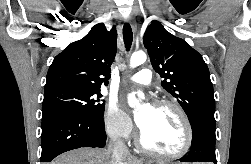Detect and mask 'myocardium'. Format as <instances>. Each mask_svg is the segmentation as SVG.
<instances>
[{
	"label": "myocardium",
	"mask_w": 251,
	"mask_h": 164,
	"mask_svg": "<svg viewBox=\"0 0 251 164\" xmlns=\"http://www.w3.org/2000/svg\"><path fill=\"white\" fill-rule=\"evenodd\" d=\"M154 107L159 108H170L173 109L177 115L179 116L185 131V140L182 148L175 153H165L158 151L152 147H150L144 140L143 133L140 130L138 133L137 142L139 147L145 151L146 153L164 159H177L184 156L191 148L193 142V130L191 122L184 111V109L177 104L176 102L169 101V100H157L154 102Z\"/></svg>",
	"instance_id": "myocardium-1"
}]
</instances>
